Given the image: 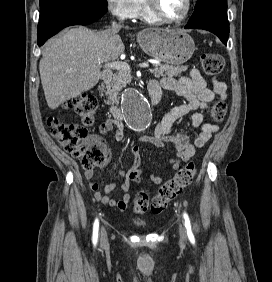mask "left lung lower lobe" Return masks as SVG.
I'll list each match as a JSON object with an SVG mask.
<instances>
[{
  "mask_svg": "<svg viewBox=\"0 0 272 282\" xmlns=\"http://www.w3.org/2000/svg\"><path fill=\"white\" fill-rule=\"evenodd\" d=\"M185 29H204L216 34L224 44L229 36L226 0H198Z\"/></svg>",
  "mask_w": 272,
  "mask_h": 282,
  "instance_id": "left-lung-lower-lobe-1",
  "label": "left lung lower lobe"
}]
</instances>
